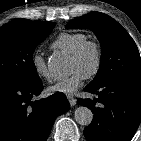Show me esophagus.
I'll use <instances>...</instances> for the list:
<instances>
[{
  "instance_id": "1",
  "label": "esophagus",
  "mask_w": 141,
  "mask_h": 141,
  "mask_svg": "<svg viewBox=\"0 0 141 141\" xmlns=\"http://www.w3.org/2000/svg\"><path fill=\"white\" fill-rule=\"evenodd\" d=\"M67 99H68L71 106L76 105V99L73 96H68Z\"/></svg>"
}]
</instances>
